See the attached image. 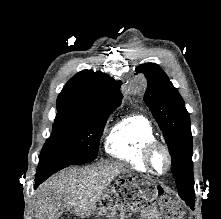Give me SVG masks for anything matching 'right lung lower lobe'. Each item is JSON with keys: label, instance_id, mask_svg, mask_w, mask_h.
<instances>
[{"label": "right lung lower lobe", "instance_id": "right-lung-lower-lobe-1", "mask_svg": "<svg viewBox=\"0 0 221 219\" xmlns=\"http://www.w3.org/2000/svg\"><path fill=\"white\" fill-rule=\"evenodd\" d=\"M67 166H69L68 163L58 160L40 161L35 177L34 188L36 189L38 185L45 181L49 176Z\"/></svg>", "mask_w": 221, "mask_h": 219}]
</instances>
